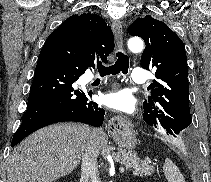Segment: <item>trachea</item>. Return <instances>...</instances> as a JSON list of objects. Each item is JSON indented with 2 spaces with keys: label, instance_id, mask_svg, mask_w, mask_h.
<instances>
[{
  "label": "trachea",
  "instance_id": "3493384b",
  "mask_svg": "<svg viewBox=\"0 0 211 182\" xmlns=\"http://www.w3.org/2000/svg\"><path fill=\"white\" fill-rule=\"evenodd\" d=\"M97 68L101 76L110 74L116 75L120 72L126 75L128 73L129 68V57L122 52H117V60L114 65L106 67L102 65V63L98 60Z\"/></svg>",
  "mask_w": 211,
  "mask_h": 182
}]
</instances>
